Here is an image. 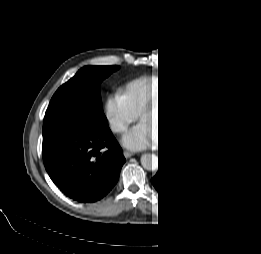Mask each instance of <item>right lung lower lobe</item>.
Here are the masks:
<instances>
[{"label": "right lung lower lobe", "instance_id": "1", "mask_svg": "<svg viewBox=\"0 0 261 254\" xmlns=\"http://www.w3.org/2000/svg\"><path fill=\"white\" fill-rule=\"evenodd\" d=\"M42 150L52 181L79 202L103 198L117 183L125 162L108 126L67 109L46 111Z\"/></svg>", "mask_w": 261, "mask_h": 254}]
</instances>
